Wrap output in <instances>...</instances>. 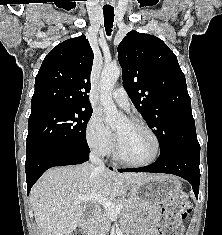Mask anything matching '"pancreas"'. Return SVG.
<instances>
[{
    "label": "pancreas",
    "instance_id": "pancreas-1",
    "mask_svg": "<svg viewBox=\"0 0 222 235\" xmlns=\"http://www.w3.org/2000/svg\"><path fill=\"white\" fill-rule=\"evenodd\" d=\"M112 203L117 206L122 205L121 215L126 218H131L136 213V206L130 199H117L113 200ZM92 224L95 235H107L111 226V216L105 211L95 218Z\"/></svg>",
    "mask_w": 222,
    "mask_h": 235
}]
</instances>
